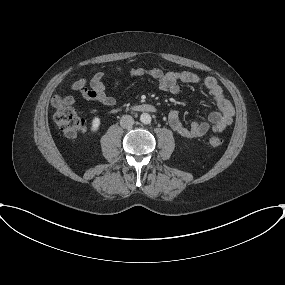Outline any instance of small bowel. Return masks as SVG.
<instances>
[{
    "label": "small bowel",
    "instance_id": "1",
    "mask_svg": "<svg viewBox=\"0 0 285 285\" xmlns=\"http://www.w3.org/2000/svg\"><path fill=\"white\" fill-rule=\"evenodd\" d=\"M131 76H150L156 79L162 91L175 95L181 93V84L202 85L216 102L218 111L212 112L207 121L192 122L189 126H184L179 119L178 110H171L168 116L170 127L185 139L192 140L205 135L209 130L221 132L231 125L234 116V108L225 97L221 86L212 76L201 78L197 74L189 71L166 72L162 69L133 68L130 70ZM104 73L97 72L88 81L80 79L72 85V90L78 92L87 100L97 101L105 106H114L116 101L105 92L103 84Z\"/></svg>",
    "mask_w": 285,
    "mask_h": 285
}]
</instances>
